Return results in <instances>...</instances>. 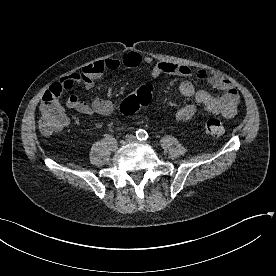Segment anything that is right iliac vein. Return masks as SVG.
<instances>
[{"mask_svg":"<svg viewBox=\"0 0 276 276\" xmlns=\"http://www.w3.org/2000/svg\"><path fill=\"white\" fill-rule=\"evenodd\" d=\"M108 147H109V150L111 151H116L118 146H117V142L116 141H113L111 143L108 144Z\"/></svg>","mask_w":276,"mask_h":276,"instance_id":"right-iliac-vein-1","label":"right iliac vein"}]
</instances>
